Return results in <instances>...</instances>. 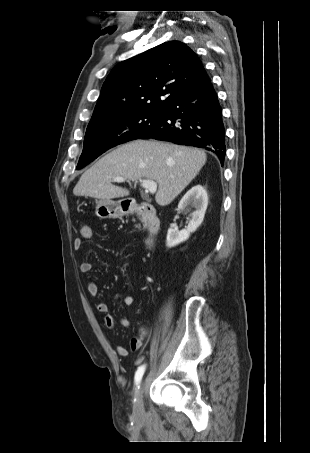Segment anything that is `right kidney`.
Masks as SVG:
<instances>
[{"mask_svg": "<svg viewBox=\"0 0 310 453\" xmlns=\"http://www.w3.org/2000/svg\"><path fill=\"white\" fill-rule=\"evenodd\" d=\"M208 205L207 192L201 185L193 186L178 204L179 209H185L187 207L194 208L195 210L190 214L191 220L188 226L179 231L178 229L169 228L167 232L166 245L168 247H174L184 241H186L190 234L195 232L201 225L204 219V215Z\"/></svg>", "mask_w": 310, "mask_h": 453, "instance_id": "ca27d5eb", "label": "right kidney"}]
</instances>
